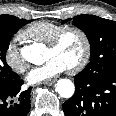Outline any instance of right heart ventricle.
Returning <instances> with one entry per match:
<instances>
[{
  "mask_svg": "<svg viewBox=\"0 0 116 116\" xmlns=\"http://www.w3.org/2000/svg\"><path fill=\"white\" fill-rule=\"evenodd\" d=\"M63 27L64 25L52 21H37L29 25L21 34L31 41L48 44Z\"/></svg>",
  "mask_w": 116,
  "mask_h": 116,
  "instance_id": "obj_1",
  "label": "right heart ventricle"
}]
</instances>
